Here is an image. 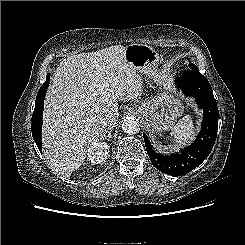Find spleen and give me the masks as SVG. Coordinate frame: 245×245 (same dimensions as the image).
<instances>
[{"instance_id": "spleen-1", "label": "spleen", "mask_w": 245, "mask_h": 245, "mask_svg": "<svg viewBox=\"0 0 245 245\" xmlns=\"http://www.w3.org/2000/svg\"><path fill=\"white\" fill-rule=\"evenodd\" d=\"M173 141L178 145H187L193 141L195 137V126L190 115L184 116L173 127L171 131Z\"/></svg>"}]
</instances>
